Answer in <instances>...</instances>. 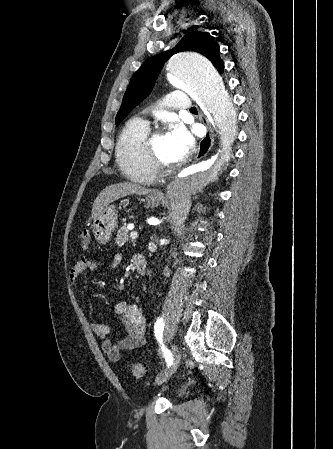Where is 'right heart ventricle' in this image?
<instances>
[{"instance_id": "obj_1", "label": "right heart ventricle", "mask_w": 333, "mask_h": 449, "mask_svg": "<svg viewBox=\"0 0 333 449\" xmlns=\"http://www.w3.org/2000/svg\"><path fill=\"white\" fill-rule=\"evenodd\" d=\"M148 132V124L140 118H134L122 129L115 146L116 161L123 174L128 179L143 184L152 183L156 179L143 148Z\"/></svg>"}]
</instances>
